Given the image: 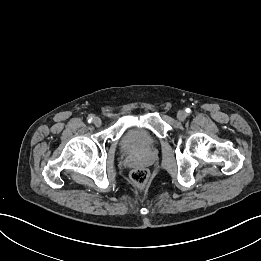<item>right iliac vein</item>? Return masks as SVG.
<instances>
[{"label":"right iliac vein","instance_id":"1","mask_svg":"<svg viewBox=\"0 0 261 261\" xmlns=\"http://www.w3.org/2000/svg\"><path fill=\"white\" fill-rule=\"evenodd\" d=\"M93 124L96 126V127H100L101 124H102V121L99 117H94L93 119Z\"/></svg>","mask_w":261,"mask_h":261}]
</instances>
